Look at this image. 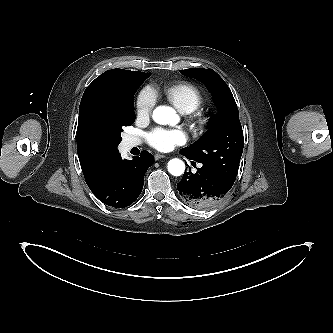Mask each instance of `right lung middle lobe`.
Returning a JSON list of instances; mask_svg holds the SVG:
<instances>
[{"instance_id":"dd1d6c3e","label":"right lung middle lobe","mask_w":333,"mask_h":333,"mask_svg":"<svg viewBox=\"0 0 333 333\" xmlns=\"http://www.w3.org/2000/svg\"><path fill=\"white\" fill-rule=\"evenodd\" d=\"M151 73H143L139 80L122 96L109 99L96 132L97 145L107 153H118L122 127L134 123V94Z\"/></svg>"}]
</instances>
